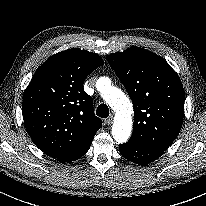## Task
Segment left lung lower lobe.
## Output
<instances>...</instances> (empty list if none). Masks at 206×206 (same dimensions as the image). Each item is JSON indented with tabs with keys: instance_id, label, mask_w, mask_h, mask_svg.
Listing matches in <instances>:
<instances>
[{
	"instance_id": "obj_1",
	"label": "left lung lower lobe",
	"mask_w": 206,
	"mask_h": 206,
	"mask_svg": "<svg viewBox=\"0 0 206 206\" xmlns=\"http://www.w3.org/2000/svg\"><path fill=\"white\" fill-rule=\"evenodd\" d=\"M121 155L136 164H147L159 158L164 151L128 141L119 147Z\"/></svg>"
}]
</instances>
